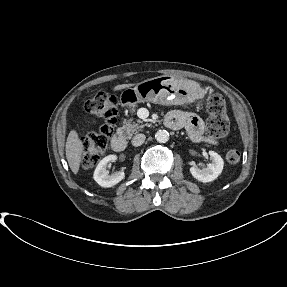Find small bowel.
<instances>
[{
  "instance_id": "obj_1",
  "label": "small bowel",
  "mask_w": 287,
  "mask_h": 287,
  "mask_svg": "<svg viewBox=\"0 0 287 287\" xmlns=\"http://www.w3.org/2000/svg\"><path fill=\"white\" fill-rule=\"evenodd\" d=\"M165 122L171 129H184L193 141L214 143L205 137L204 121L195 113L179 110L171 111L166 115Z\"/></svg>"
}]
</instances>
